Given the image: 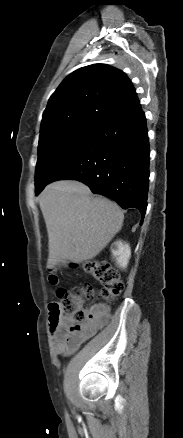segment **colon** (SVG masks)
<instances>
[{"mask_svg":"<svg viewBox=\"0 0 183 438\" xmlns=\"http://www.w3.org/2000/svg\"><path fill=\"white\" fill-rule=\"evenodd\" d=\"M83 269L91 274L101 285L100 295L103 299L110 301L120 295L123 290V283L118 277L114 268L105 262L88 260L83 263ZM50 285H57L58 277L51 273L48 276ZM59 301L49 304V322L54 330L60 322L66 321L72 332H79L86 319V312L83 308L85 300L95 296L94 289L87 285L81 289L68 290L57 289Z\"/></svg>","mask_w":183,"mask_h":438,"instance_id":"colon-1","label":"colon"}]
</instances>
